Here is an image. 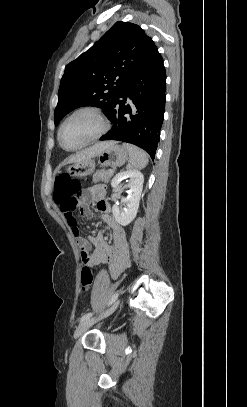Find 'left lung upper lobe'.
<instances>
[{
    "mask_svg": "<svg viewBox=\"0 0 247 407\" xmlns=\"http://www.w3.org/2000/svg\"><path fill=\"white\" fill-rule=\"evenodd\" d=\"M156 49L141 27L116 22L88 51L66 66L54 112L55 125L81 106L100 107L109 118L124 86Z\"/></svg>",
    "mask_w": 247,
    "mask_h": 407,
    "instance_id": "5c2ea615",
    "label": "left lung upper lobe"
}]
</instances>
